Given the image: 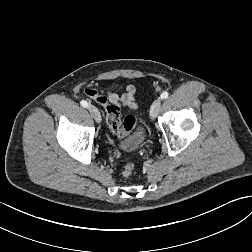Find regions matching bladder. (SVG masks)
I'll return each mask as SVG.
<instances>
[{
	"label": "bladder",
	"instance_id": "31cf9c89",
	"mask_svg": "<svg viewBox=\"0 0 252 252\" xmlns=\"http://www.w3.org/2000/svg\"><path fill=\"white\" fill-rule=\"evenodd\" d=\"M146 139V132L143 127H137L119 145L122 151L129 152L139 149Z\"/></svg>",
	"mask_w": 252,
	"mask_h": 252
}]
</instances>
